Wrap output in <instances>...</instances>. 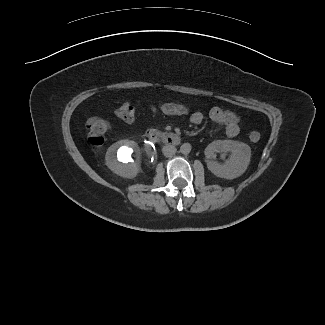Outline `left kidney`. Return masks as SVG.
<instances>
[{
	"instance_id": "5707ae66",
	"label": "left kidney",
	"mask_w": 325,
	"mask_h": 325,
	"mask_svg": "<svg viewBox=\"0 0 325 325\" xmlns=\"http://www.w3.org/2000/svg\"><path fill=\"white\" fill-rule=\"evenodd\" d=\"M230 152L231 155L224 164L213 160L216 153ZM205 155L209 159L208 169L217 177L234 179L241 176L250 163L251 149L242 142L233 140H216L210 143L205 149Z\"/></svg>"
}]
</instances>
